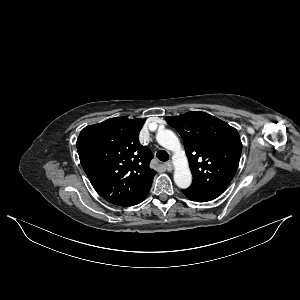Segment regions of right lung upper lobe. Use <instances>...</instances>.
Listing matches in <instances>:
<instances>
[{
    "instance_id": "obj_1",
    "label": "right lung upper lobe",
    "mask_w": 300,
    "mask_h": 300,
    "mask_svg": "<svg viewBox=\"0 0 300 300\" xmlns=\"http://www.w3.org/2000/svg\"><path fill=\"white\" fill-rule=\"evenodd\" d=\"M144 121L111 118L80 132L76 146L81 165L94 189L108 202L151 188L156 173L149 167L153 154L138 140Z\"/></svg>"
}]
</instances>
